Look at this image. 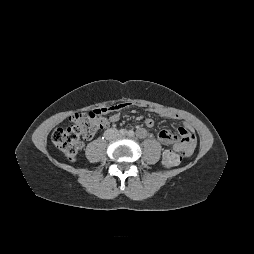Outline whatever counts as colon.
<instances>
[{
  "instance_id": "1",
  "label": "colon",
  "mask_w": 254,
  "mask_h": 254,
  "mask_svg": "<svg viewBox=\"0 0 254 254\" xmlns=\"http://www.w3.org/2000/svg\"><path fill=\"white\" fill-rule=\"evenodd\" d=\"M106 111L105 108L75 114L66 128H57L52 134L53 144L61 150L66 158L75 161L83 147V139L91 138L98 130L101 122L99 117ZM180 162V156L169 153L164 163L173 167Z\"/></svg>"
}]
</instances>
